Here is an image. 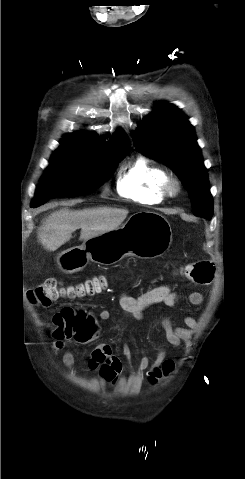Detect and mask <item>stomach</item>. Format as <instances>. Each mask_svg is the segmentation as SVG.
Returning <instances> with one entry per match:
<instances>
[{"label": "stomach", "mask_w": 245, "mask_h": 479, "mask_svg": "<svg viewBox=\"0 0 245 479\" xmlns=\"http://www.w3.org/2000/svg\"><path fill=\"white\" fill-rule=\"evenodd\" d=\"M171 241L168 220L159 213L143 211L130 216L121 227L61 252L57 263L62 271L74 273L89 261L108 266L129 256L152 259L161 256Z\"/></svg>", "instance_id": "0dacf381"}]
</instances>
